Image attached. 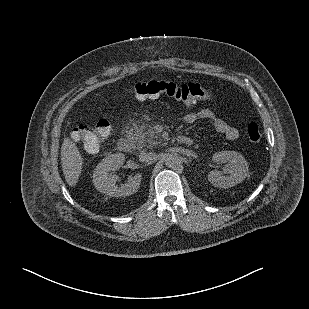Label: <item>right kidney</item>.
<instances>
[{
	"mask_svg": "<svg viewBox=\"0 0 309 309\" xmlns=\"http://www.w3.org/2000/svg\"><path fill=\"white\" fill-rule=\"evenodd\" d=\"M124 160V154L116 153L104 158L98 164L93 174V184L99 192L111 197H125L137 192L142 180L141 173L129 177L125 184L119 185L116 184L119 177L110 173L119 170Z\"/></svg>",
	"mask_w": 309,
	"mask_h": 309,
	"instance_id": "ca27d5eb",
	"label": "right kidney"
}]
</instances>
